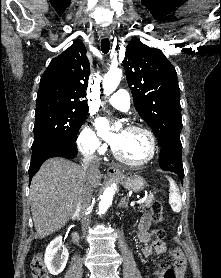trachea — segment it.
Wrapping results in <instances>:
<instances>
[{
  "mask_svg": "<svg viewBox=\"0 0 221 278\" xmlns=\"http://www.w3.org/2000/svg\"><path fill=\"white\" fill-rule=\"evenodd\" d=\"M110 49V41L109 39L105 38L101 40V50L103 53H108Z\"/></svg>",
  "mask_w": 221,
  "mask_h": 278,
  "instance_id": "3493384b",
  "label": "trachea"
}]
</instances>
